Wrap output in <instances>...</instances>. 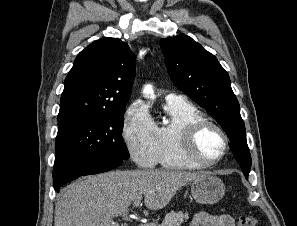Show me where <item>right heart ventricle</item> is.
I'll use <instances>...</instances> for the list:
<instances>
[{"mask_svg":"<svg viewBox=\"0 0 297 226\" xmlns=\"http://www.w3.org/2000/svg\"><path fill=\"white\" fill-rule=\"evenodd\" d=\"M170 122L158 127V162L170 169H196L182 153L178 131L185 125L204 119V114L187 100H167L164 106Z\"/></svg>","mask_w":297,"mask_h":226,"instance_id":"e07e8e85","label":"right heart ventricle"}]
</instances>
